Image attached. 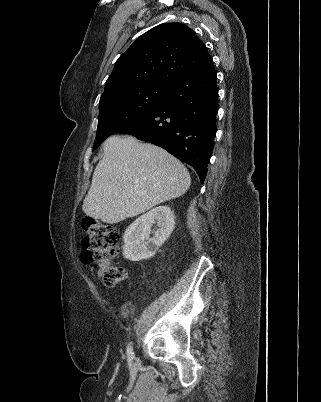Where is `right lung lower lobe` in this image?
Returning <instances> with one entry per match:
<instances>
[{
    "mask_svg": "<svg viewBox=\"0 0 321 402\" xmlns=\"http://www.w3.org/2000/svg\"><path fill=\"white\" fill-rule=\"evenodd\" d=\"M216 76L212 63L171 83L157 108L117 133L161 146L191 165L203 182L216 134Z\"/></svg>",
    "mask_w": 321,
    "mask_h": 402,
    "instance_id": "right-lung-lower-lobe-1",
    "label": "right lung lower lobe"
}]
</instances>
